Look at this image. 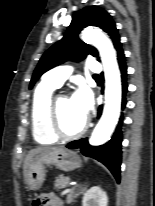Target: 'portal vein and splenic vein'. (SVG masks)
Segmentation results:
<instances>
[{
	"mask_svg": "<svg viewBox=\"0 0 155 206\" xmlns=\"http://www.w3.org/2000/svg\"><path fill=\"white\" fill-rule=\"evenodd\" d=\"M70 191H71V189H66V190L62 191V192H61V196L67 194V193L70 192Z\"/></svg>",
	"mask_w": 155,
	"mask_h": 206,
	"instance_id": "18ae733b",
	"label": "portal vein and splenic vein"
}]
</instances>
